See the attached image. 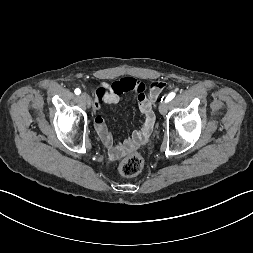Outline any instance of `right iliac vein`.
<instances>
[{
	"instance_id": "63e3f726",
	"label": "right iliac vein",
	"mask_w": 253,
	"mask_h": 253,
	"mask_svg": "<svg viewBox=\"0 0 253 253\" xmlns=\"http://www.w3.org/2000/svg\"><path fill=\"white\" fill-rule=\"evenodd\" d=\"M80 98L86 103V105H87L88 107H90V105H91V99H90V97H89L88 95L82 93V94L80 95Z\"/></svg>"
}]
</instances>
